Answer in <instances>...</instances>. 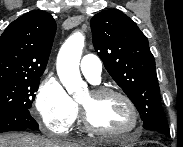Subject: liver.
Here are the masks:
<instances>
[{"instance_id": "6515ba94", "label": "liver", "mask_w": 183, "mask_h": 147, "mask_svg": "<svg viewBox=\"0 0 183 147\" xmlns=\"http://www.w3.org/2000/svg\"><path fill=\"white\" fill-rule=\"evenodd\" d=\"M97 145L101 143L97 141L71 143L26 133L0 135V147H95Z\"/></svg>"}]
</instances>
